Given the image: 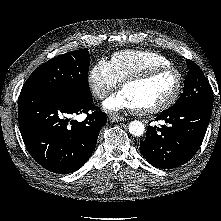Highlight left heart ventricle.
Masks as SVG:
<instances>
[{
  "label": "left heart ventricle",
  "instance_id": "b2bd125f",
  "mask_svg": "<svg viewBox=\"0 0 221 221\" xmlns=\"http://www.w3.org/2000/svg\"><path fill=\"white\" fill-rule=\"evenodd\" d=\"M176 85V75L164 73L144 82L129 84L123 91L139 110L153 107L168 99Z\"/></svg>",
  "mask_w": 221,
  "mask_h": 221
}]
</instances>
